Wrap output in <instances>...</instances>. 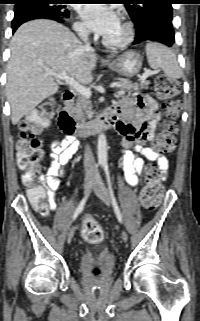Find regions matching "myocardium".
Wrapping results in <instances>:
<instances>
[{
  "instance_id": "f54148a6",
  "label": "myocardium",
  "mask_w": 200,
  "mask_h": 321,
  "mask_svg": "<svg viewBox=\"0 0 200 321\" xmlns=\"http://www.w3.org/2000/svg\"><path fill=\"white\" fill-rule=\"evenodd\" d=\"M121 22L126 30L125 38L119 42H110L105 37H103L102 44L106 48L111 49V50L124 49L128 45H130V43L133 41L134 36H135V28H134L133 23L125 18H123Z\"/></svg>"
}]
</instances>
